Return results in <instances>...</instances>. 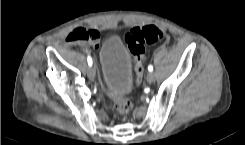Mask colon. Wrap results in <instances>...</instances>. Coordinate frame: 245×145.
Segmentation results:
<instances>
[{
    "mask_svg": "<svg viewBox=\"0 0 245 145\" xmlns=\"http://www.w3.org/2000/svg\"><path fill=\"white\" fill-rule=\"evenodd\" d=\"M98 38V32L94 29L76 27L72 29L65 37L67 43H92ZM168 34L165 30L154 26L146 25L135 27L129 30L125 35V42L134 60L135 83L139 84L144 75V44L155 42H166ZM114 99L115 113L118 116L127 115L132 109V103L128 99L116 97L110 94Z\"/></svg>",
    "mask_w": 245,
    "mask_h": 145,
    "instance_id": "5ec220e1",
    "label": "colon"
}]
</instances>
